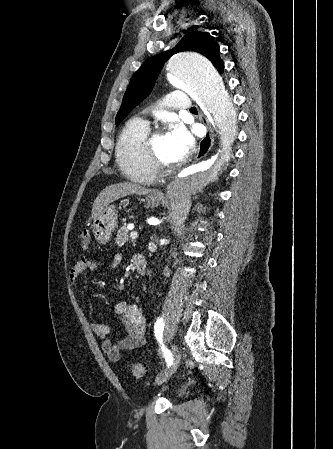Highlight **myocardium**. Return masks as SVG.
<instances>
[{
	"label": "myocardium",
	"instance_id": "f54148a6",
	"mask_svg": "<svg viewBox=\"0 0 333 449\" xmlns=\"http://www.w3.org/2000/svg\"><path fill=\"white\" fill-rule=\"evenodd\" d=\"M162 130L160 128H155L154 130H149L144 143L143 148L145 152L146 159L148 161L149 166L153 170V172L156 174V176L164 175L169 173L173 168L174 165H169L163 162L158 155L156 154V151L153 146V140L156 136L161 135Z\"/></svg>",
	"mask_w": 333,
	"mask_h": 449
}]
</instances>
